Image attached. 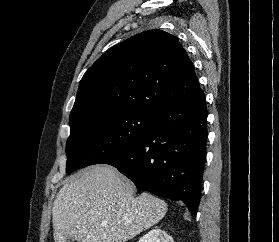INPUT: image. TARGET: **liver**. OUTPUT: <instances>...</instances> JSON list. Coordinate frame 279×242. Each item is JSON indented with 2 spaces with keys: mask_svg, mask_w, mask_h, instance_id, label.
<instances>
[{
  "mask_svg": "<svg viewBox=\"0 0 279 242\" xmlns=\"http://www.w3.org/2000/svg\"><path fill=\"white\" fill-rule=\"evenodd\" d=\"M133 193L134 185L109 165L69 177L52 208L54 241L126 242L164 217L165 201Z\"/></svg>",
  "mask_w": 279,
  "mask_h": 242,
  "instance_id": "obj_1",
  "label": "liver"
}]
</instances>
